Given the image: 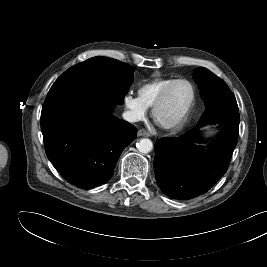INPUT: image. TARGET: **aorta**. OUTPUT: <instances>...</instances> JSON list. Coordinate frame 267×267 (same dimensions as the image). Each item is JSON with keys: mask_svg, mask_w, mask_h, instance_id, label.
Wrapping results in <instances>:
<instances>
[{"mask_svg": "<svg viewBox=\"0 0 267 267\" xmlns=\"http://www.w3.org/2000/svg\"><path fill=\"white\" fill-rule=\"evenodd\" d=\"M136 147L141 153H149L153 149V143L150 139L143 138L137 144Z\"/></svg>", "mask_w": 267, "mask_h": 267, "instance_id": "aorta-1", "label": "aorta"}]
</instances>
